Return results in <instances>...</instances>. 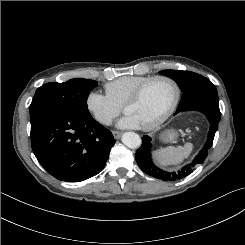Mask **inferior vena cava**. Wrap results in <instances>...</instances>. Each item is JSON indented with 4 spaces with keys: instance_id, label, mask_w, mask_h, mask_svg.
<instances>
[{
    "instance_id": "inferior-vena-cava-1",
    "label": "inferior vena cava",
    "mask_w": 245,
    "mask_h": 245,
    "mask_svg": "<svg viewBox=\"0 0 245 245\" xmlns=\"http://www.w3.org/2000/svg\"><path fill=\"white\" fill-rule=\"evenodd\" d=\"M112 123V120L111 119H107L106 121H105V124L106 125H110Z\"/></svg>"
}]
</instances>
